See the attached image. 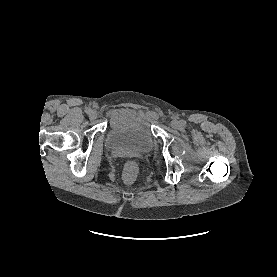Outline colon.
<instances>
[{
    "mask_svg": "<svg viewBox=\"0 0 277 277\" xmlns=\"http://www.w3.org/2000/svg\"><path fill=\"white\" fill-rule=\"evenodd\" d=\"M138 174V166L134 161H128L125 163L122 171V180L125 184H132Z\"/></svg>",
    "mask_w": 277,
    "mask_h": 277,
    "instance_id": "obj_1",
    "label": "colon"
}]
</instances>
